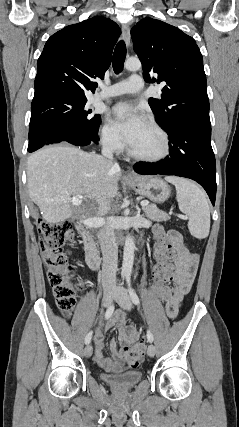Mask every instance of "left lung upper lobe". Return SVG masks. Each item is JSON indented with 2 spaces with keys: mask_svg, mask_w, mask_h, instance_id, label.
Here are the masks:
<instances>
[{
  "mask_svg": "<svg viewBox=\"0 0 239 427\" xmlns=\"http://www.w3.org/2000/svg\"><path fill=\"white\" fill-rule=\"evenodd\" d=\"M131 35L145 80L162 85L161 99L148 100L156 122L165 130L182 121L210 124L203 57L195 40L152 18L140 20Z\"/></svg>",
  "mask_w": 239,
  "mask_h": 427,
  "instance_id": "left-lung-upper-lobe-1",
  "label": "left lung upper lobe"
}]
</instances>
